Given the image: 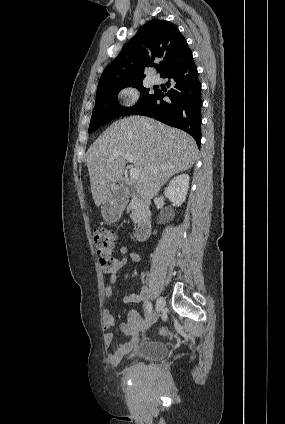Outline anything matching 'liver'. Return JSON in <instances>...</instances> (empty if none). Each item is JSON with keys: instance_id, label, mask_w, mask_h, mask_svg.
Masks as SVG:
<instances>
[{"instance_id": "obj_1", "label": "liver", "mask_w": 285, "mask_h": 424, "mask_svg": "<svg viewBox=\"0 0 285 424\" xmlns=\"http://www.w3.org/2000/svg\"><path fill=\"white\" fill-rule=\"evenodd\" d=\"M115 152L132 157V164L139 171L137 192L149 200L173 175L194 165L198 149L195 140L184 131L148 117L131 116L112 123L89 148L86 157L97 207L124 173L125 157L109 161Z\"/></svg>"}]
</instances>
